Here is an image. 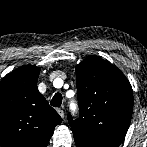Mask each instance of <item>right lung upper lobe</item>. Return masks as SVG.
<instances>
[{
	"instance_id": "obj_1",
	"label": "right lung upper lobe",
	"mask_w": 147,
	"mask_h": 147,
	"mask_svg": "<svg viewBox=\"0 0 147 147\" xmlns=\"http://www.w3.org/2000/svg\"><path fill=\"white\" fill-rule=\"evenodd\" d=\"M40 68L25 65L0 81V146L47 147L61 117L38 91Z\"/></svg>"
}]
</instances>
